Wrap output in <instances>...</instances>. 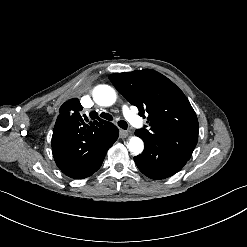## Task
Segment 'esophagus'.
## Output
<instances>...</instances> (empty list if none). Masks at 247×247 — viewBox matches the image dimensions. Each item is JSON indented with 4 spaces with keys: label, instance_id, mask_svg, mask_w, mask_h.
I'll list each match as a JSON object with an SVG mask.
<instances>
[{
    "label": "esophagus",
    "instance_id": "34e87169",
    "mask_svg": "<svg viewBox=\"0 0 247 247\" xmlns=\"http://www.w3.org/2000/svg\"><path fill=\"white\" fill-rule=\"evenodd\" d=\"M129 135V132L127 130H120L119 137L120 138H126Z\"/></svg>",
    "mask_w": 247,
    "mask_h": 247
}]
</instances>
